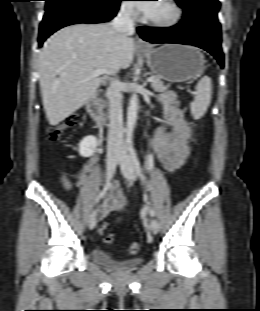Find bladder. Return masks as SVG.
<instances>
[{
	"mask_svg": "<svg viewBox=\"0 0 260 311\" xmlns=\"http://www.w3.org/2000/svg\"><path fill=\"white\" fill-rule=\"evenodd\" d=\"M90 255L95 263L116 272L134 270L143 262L142 257L116 259L112 254L98 247L93 248Z\"/></svg>",
	"mask_w": 260,
	"mask_h": 311,
	"instance_id": "31cf9c89",
	"label": "bladder"
}]
</instances>
